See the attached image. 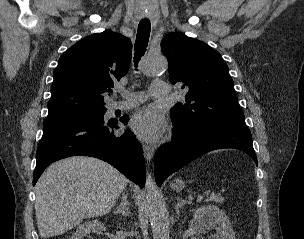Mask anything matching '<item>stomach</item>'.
<instances>
[{"label": "stomach", "mask_w": 304, "mask_h": 239, "mask_svg": "<svg viewBox=\"0 0 304 239\" xmlns=\"http://www.w3.org/2000/svg\"><path fill=\"white\" fill-rule=\"evenodd\" d=\"M184 187V182L182 180H176L172 184V188L175 190H181Z\"/></svg>", "instance_id": "1"}]
</instances>
